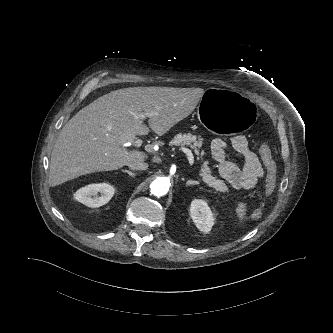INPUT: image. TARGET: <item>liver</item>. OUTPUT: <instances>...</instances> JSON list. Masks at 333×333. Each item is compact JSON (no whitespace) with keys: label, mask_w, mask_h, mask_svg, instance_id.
Masks as SVG:
<instances>
[{"label":"liver","mask_w":333,"mask_h":333,"mask_svg":"<svg viewBox=\"0 0 333 333\" xmlns=\"http://www.w3.org/2000/svg\"><path fill=\"white\" fill-rule=\"evenodd\" d=\"M204 93L202 88L129 87L97 98L61 129L51 154L52 186L144 161V152L126 147L149 132L139 115L147 116L149 127L162 136L192 113Z\"/></svg>","instance_id":"6515ba94"}]
</instances>
